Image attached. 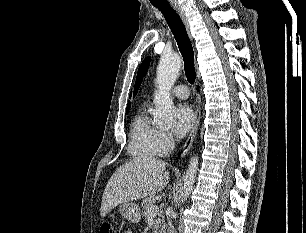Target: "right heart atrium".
Masks as SVG:
<instances>
[{
    "mask_svg": "<svg viewBox=\"0 0 306 233\" xmlns=\"http://www.w3.org/2000/svg\"><path fill=\"white\" fill-rule=\"evenodd\" d=\"M175 145V138L169 131H158L157 134V151L159 155H165Z\"/></svg>",
    "mask_w": 306,
    "mask_h": 233,
    "instance_id": "obj_1",
    "label": "right heart atrium"
}]
</instances>
